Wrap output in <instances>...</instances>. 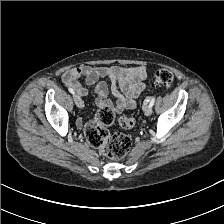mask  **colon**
<instances>
[{
    "instance_id": "1",
    "label": "colon",
    "mask_w": 224,
    "mask_h": 224,
    "mask_svg": "<svg viewBox=\"0 0 224 224\" xmlns=\"http://www.w3.org/2000/svg\"><path fill=\"white\" fill-rule=\"evenodd\" d=\"M154 83L161 87H170L174 82V75L168 69H159L154 75ZM115 121V113L110 107H101L94 119L84 128L85 137L90 145L99 148L102 153L111 159H121L131 146L130 136L122 133H111L107 127ZM123 129H132L136 125L133 116H121L118 120Z\"/></svg>"
}]
</instances>
